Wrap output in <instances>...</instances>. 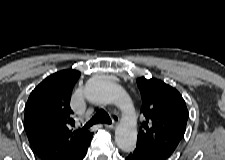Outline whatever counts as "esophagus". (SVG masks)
<instances>
[{
    "label": "esophagus",
    "instance_id": "1",
    "mask_svg": "<svg viewBox=\"0 0 225 160\" xmlns=\"http://www.w3.org/2000/svg\"><path fill=\"white\" fill-rule=\"evenodd\" d=\"M119 119V117L117 116V115H115L114 117H113V123L112 124H104V126L106 127V128H108V129H114L115 128V126H116V124H117V120Z\"/></svg>",
    "mask_w": 225,
    "mask_h": 160
}]
</instances>
